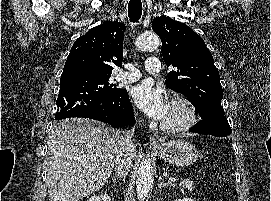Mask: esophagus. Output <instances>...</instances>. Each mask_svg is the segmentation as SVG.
Masks as SVG:
<instances>
[{"mask_svg":"<svg viewBox=\"0 0 271 201\" xmlns=\"http://www.w3.org/2000/svg\"><path fill=\"white\" fill-rule=\"evenodd\" d=\"M149 142L151 146H160L163 144L162 139L157 134H152L149 138Z\"/></svg>","mask_w":271,"mask_h":201,"instance_id":"1","label":"esophagus"}]
</instances>
